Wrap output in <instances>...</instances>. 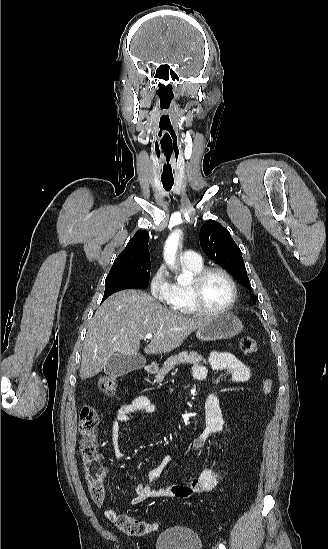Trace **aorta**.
<instances>
[{
  "label": "aorta",
  "instance_id": "762f6f07",
  "mask_svg": "<svg viewBox=\"0 0 328 549\" xmlns=\"http://www.w3.org/2000/svg\"><path fill=\"white\" fill-rule=\"evenodd\" d=\"M180 237V231H176L173 233L166 243V254L168 256V259L170 262H173L175 260V254L178 246V241ZM181 279V277H179Z\"/></svg>",
  "mask_w": 328,
  "mask_h": 549
}]
</instances>
